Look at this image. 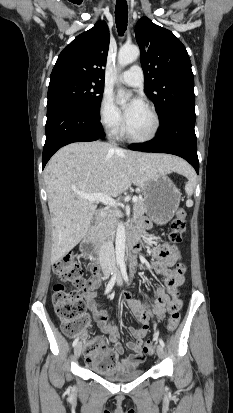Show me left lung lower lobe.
<instances>
[{"label":"left lung lower lobe","instance_id":"1","mask_svg":"<svg viewBox=\"0 0 233 413\" xmlns=\"http://www.w3.org/2000/svg\"><path fill=\"white\" fill-rule=\"evenodd\" d=\"M195 116L175 113L161 122L158 135L145 143L129 147L144 152L168 153L187 160L199 172L197 139L194 131Z\"/></svg>","mask_w":233,"mask_h":413}]
</instances>
